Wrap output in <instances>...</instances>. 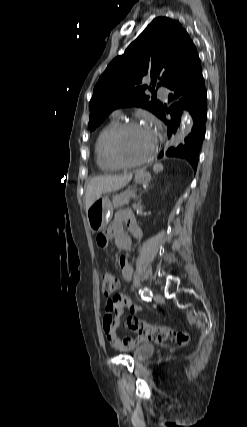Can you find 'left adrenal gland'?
<instances>
[{"label":"left adrenal gland","mask_w":247,"mask_h":427,"mask_svg":"<svg viewBox=\"0 0 247 427\" xmlns=\"http://www.w3.org/2000/svg\"><path fill=\"white\" fill-rule=\"evenodd\" d=\"M141 195H142V193L136 198V201L138 202V203H140L141 202Z\"/></svg>","instance_id":"obj_1"}]
</instances>
